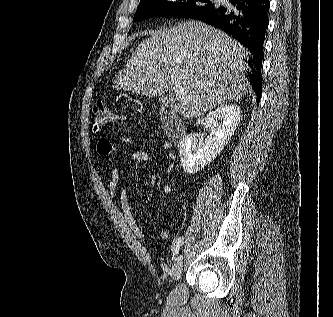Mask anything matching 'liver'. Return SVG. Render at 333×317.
Listing matches in <instances>:
<instances>
[{
  "label": "liver",
  "mask_w": 333,
  "mask_h": 317,
  "mask_svg": "<svg viewBox=\"0 0 333 317\" xmlns=\"http://www.w3.org/2000/svg\"><path fill=\"white\" fill-rule=\"evenodd\" d=\"M248 51L226 33L198 21L152 32L132 53L114 87L147 97L163 96L176 85L184 99L173 111L182 118L207 111L247 93Z\"/></svg>",
  "instance_id": "obj_1"
}]
</instances>
